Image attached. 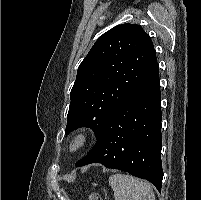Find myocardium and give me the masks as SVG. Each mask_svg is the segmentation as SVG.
<instances>
[{"instance_id": "myocardium-1", "label": "myocardium", "mask_w": 201, "mask_h": 200, "mask_svg": "<svg viewBox=\"0 0 201 200\" xmlns=\"http://www.w3.org/2000/svg\"><path fill=\"white\" fill-rule=\"evenodd\" d=\"M90 140V134L85 130L75 132L67 142V151L75 154L83 150Z\"/></svg>"}]
</instances>
